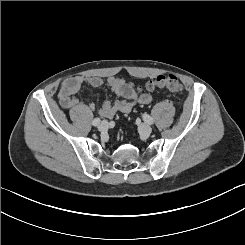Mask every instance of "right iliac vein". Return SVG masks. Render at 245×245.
<instances>
[{"instance_id": "63e3f726", "label": "right iliac vein", "mask_w": 245, "mask_h": 245, "mask_svg": "<svg viewBox=\"0 0 245 245\" xmlns=\"http://www.w3.org/2000/svg\"><path fill=\"white\" fill-rule=\"evenodd\" d=\"M108 126H109L108 122L103 120V121L100 122V124L98 126V130L99 131H105V130L108 129Z\"/></svg>"}]
</instances>
